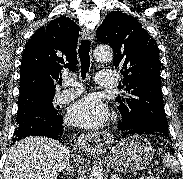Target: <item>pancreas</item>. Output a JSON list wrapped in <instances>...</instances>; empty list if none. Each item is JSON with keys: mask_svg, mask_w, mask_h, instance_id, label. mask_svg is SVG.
Instances as JSON below:
<instances>
[{"mask_svg": "<svg viewBox=\"0 0 183 179\" xmlns=\"http://www.w3.org/2000/svg\"><path fill=\"white\" fill-rule=\"evenodd\" d=\"M147 179H160L159 175L150 176Z\"/></svg>", "mask_w": 183, "mask_h": 179, "instance_id": "pancreas-1", "label": "pancreas"}]
</instances>
